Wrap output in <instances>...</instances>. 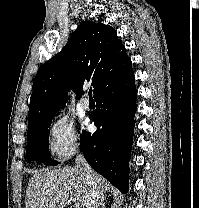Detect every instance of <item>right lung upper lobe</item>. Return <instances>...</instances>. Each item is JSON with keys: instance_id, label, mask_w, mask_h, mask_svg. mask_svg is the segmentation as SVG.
<instances>
[{"instance_id": "1", "label": "right lung upper lobe", "mask_w": 199, "mask_h": 208, "mask_svg": "<svg viewBox=\"0 0 199 208\" xmlns=\"http://www.w3.org/2000/svg\"><path fill=\"white\" fill-rule=\"evenodd\" d=\"M133 74L131 60L116 31L101 22H82L66 46L37 73L30 98L28 131L52 120L68 91L77 98L92 81L94 97Z\"/></svg>"}]
</instances>
